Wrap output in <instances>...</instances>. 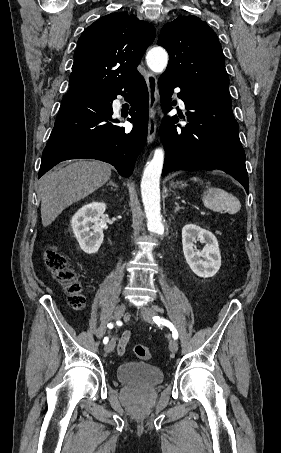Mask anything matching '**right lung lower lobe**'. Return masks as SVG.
<instances>
[{"mask_svg":"<svg viewBox=\"0 0 281 453\" xmlns=\"http://www.w3.org/2000/svg\"><path fill=\"white\" fill-rule=\"evenodd\" d=\"M118 94L131 102L130 132L116 125L112 101ZM148 90L138 73L115 91L66 93L54 128L42 154L40 178L61 161L92 158L112 164L120 175L133 172L137 156L145 145L148 122Z\"/></svg>","mask_w":281,"mask_h":453,"instance_id":"1","label":"right lung lower lobe"}]
</instances>
